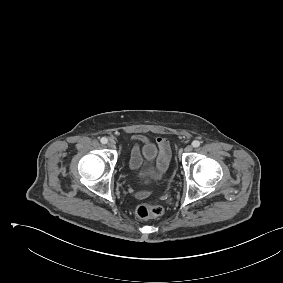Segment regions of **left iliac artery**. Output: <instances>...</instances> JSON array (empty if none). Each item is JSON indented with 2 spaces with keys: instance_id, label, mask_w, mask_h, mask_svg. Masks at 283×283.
<instances>
[{
  "instance_id": "1",
  "label": "left iliac artery",
  "mask_w": 283,
  "mask_h": 283,
  "mask_svg": "<svg viewBox=\"0 0 283 283\" xmlns=\"http://www.w3.org/2000/svg\"><path fill=\"white\" fill-rule=\"evenodd\" d=\"M192 146L193 147H199L200 146V142L198 141V140H194L193 142H192Z\"/></svg>"
}]
</instances>
